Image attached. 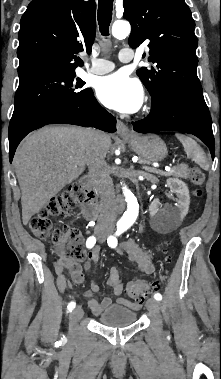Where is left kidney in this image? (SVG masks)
Here are the masks:
<instances>
[{"instance_id": "1", "label": "left kidney", "mask_w": 221, "mask_h": 379, "mask_svg": "<svg viewBox=\"0 0 221 379\" xmlns=\"http://www.w3.org/2000/svg\"><path fill=\"white\" fill-rule=\"evenodd\" d=\"M167 185L170 191L178 197L176 207L165 205L159 210L160 202L157 199L149 207L152 223L160 230H170L178 227L187 215L190 205L189 189L183 181L169 178Z\"/></svg>"}]
</instances>
